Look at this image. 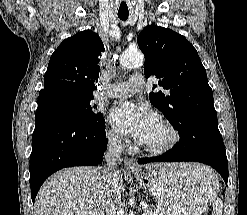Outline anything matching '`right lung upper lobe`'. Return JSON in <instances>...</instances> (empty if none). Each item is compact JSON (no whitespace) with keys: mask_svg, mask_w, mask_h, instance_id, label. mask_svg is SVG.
I'll return each mask as SVG.
<instances>
[{"mask_svg":"<svg viewBox=\"0 0 247 215\" xmlns=\"http://www.w3.org/2000/svg\"><path fill=\"white\" fill-rule=\"evenodd\" d=\"M104 51L99 35L90 30L65 39L50 58L43 90L67 88L92 94Z\"/></svg>","mask_w":247,"mask_h":215,"instance_id":"1","label":"right lung upper lobe"}]
</instances>
